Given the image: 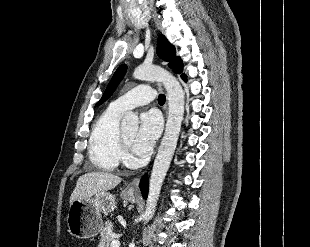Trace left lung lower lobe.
<instances>
[{
    "mask_svg": "<svg viewBox=\"0 0 310 247\" xmlns=\"http://www.w3.org/2000/svg\"><path fill=\"white\" fill-rule=\"evenodd\" d=\"M182 79L183 80H186V76L183 74L181 75ZM140 190H141V193L143 195V197L146 199L147 198V195H148V182H147V177L144 176L142 179H141V183H140Z\"/></svg>",
    "mask_w": 310,
    "mask_h": 247,
    "instance_id": "obj_1",
    "label": "left lung lower lobe"
}]
</instances>
